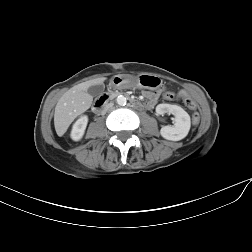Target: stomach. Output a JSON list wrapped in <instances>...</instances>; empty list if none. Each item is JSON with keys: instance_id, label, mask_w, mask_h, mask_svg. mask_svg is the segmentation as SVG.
I'll return each mask as SVG.
<instances>
[{"instance_id": "stomach-1", "label": "stomach", "mask_w": 252, "mask_h": 252, "mask_svg": "<svg viewBox=\"0 0 252 252\" xmlns=\"http://www.w3.org/2000/svg\"><path fill=\"white\" fill-rule=\"evenodd\" d=\"M133 84L138 88H146L150 90H155L158 87V78L151 74H140L134 79H130L127 76L115 75L111 79V84L113 86L119 87L122 85Z\"/></svg>"}]
</instances>
